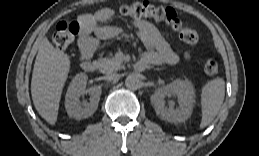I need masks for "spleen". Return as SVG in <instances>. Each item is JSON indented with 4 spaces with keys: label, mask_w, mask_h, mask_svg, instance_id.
<instances>
[{
    "label": "spleen",
    "mask_w": 259,
    "mask_h": 156,
    "mask_svg": "<svg viewBox=\"0 0 259 156\" xmlns=\"http://www.w3.org/2000/svg\"><path fill=\"white\" fill-rule=\"evenodd\" d=\"M225 97V81L215 78L208 81L201 90L202 118L200 128L206 127L219 113Z\"/></svg>",
    "instance_id": "spleen-1"
}]
</instances>
